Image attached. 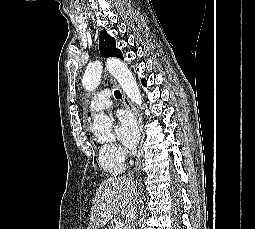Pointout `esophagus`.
<instances>
[{"label":"esophagus","instance_id":"obj_1","mask_svg":"<svg viewBox=\"0 0 255 229\" xmlns=\"http://www.w3.org/2000/svg\"><path fill=\"white\" fill-rule=\"evenodd\" d=\"M106 76H108L112 82L118 87V89L120 90L121 94H122V98H123V103L125 105V107L130 110L132 112V114L135 116L136 120H137V124L138 127L140 129V131H142V117L140 116V114L138 113V111L136 110V108L132 105V103L129 101V99L127 98V96L125 95V93L122 91V89L120 88L119 84L116 82L115 79H113L112 76H110L108 73H106ZM143 135H142V139L141 142L143 141ZM141 159H142V149L139 148L138 153H137V158H136V165H135V170L138 173L139 169H140V165H141Z\"/></svg>","mask_w":255,"mask_h":229}]
</instances>
